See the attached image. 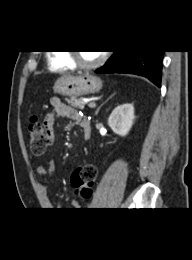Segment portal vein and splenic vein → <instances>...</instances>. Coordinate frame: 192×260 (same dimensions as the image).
<instances>
[{"instance_id":"obj_1","label":"portal vein and splenic vein","mask_w":192,"mask_h":260,"mask_svg":"<svg viewBox=\"0 0 192 260\" xmlns=\"http://www.w3.org/2000/svg\"><path fill=\"white\" fill-rule=\"evenodd\" d=\"M88 106H89L90 108H94V107H96V103L91 102V103L88 104Z\"/></svg>"}]
</instances>
